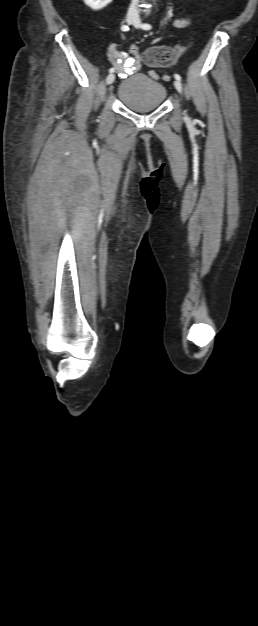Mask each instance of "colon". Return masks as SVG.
Returning <instances> with one entry per match:
<instances>
[{"label":"colon","mask_w":258,"mask_h":626,"mask_svg":"<svg viewBox=\"0 0 258 626\" xmlns=\"http://www.w3.org/2000/svg\"><path fill=\"white\" fill-rule=\"evenodd\" d=\"M184 51V47L156 46L148 49L143 54V60L148 66L169 67ZM131 52L136 55L139 54L136 46L131 47Z\"/></svg>","instance_id":"1"}]
</instances>
